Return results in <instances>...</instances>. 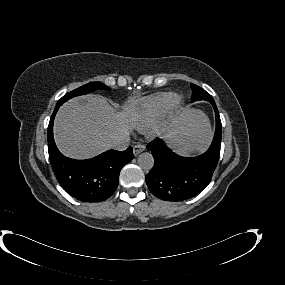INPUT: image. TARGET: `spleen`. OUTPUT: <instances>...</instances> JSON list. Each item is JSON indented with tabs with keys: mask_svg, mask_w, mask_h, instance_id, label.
<instances>
[{
	"mask_svg": "<svg viewBox=\"0 0 285 285\" xmlns=\"http://www.w3.org/2000/svg\"><path fill=\"white\" fill-rule=\"evenodd\" d=\"M200 123H201V125H203V126L208 124V120H207L206 116H205L203 113L200 114ZM177 152H178L179 154H181V155H184V156H187V155H188V149H187L186 147H181V148H179V149L177 150Z\"/></svg>",
	"mask_w": 285,
	"mask_h": 285,
	"instance_id": "1",
	"label": "spleen"
}]
</instances>
